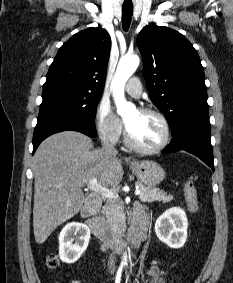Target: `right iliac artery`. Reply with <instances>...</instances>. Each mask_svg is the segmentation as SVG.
I'll return each instance as SVG.
<instances>
[{
    "label": "right iliac artery",
    "instance_id": "obj_1",
    "mask_svg": "<svg viewBox=\"0 0 233 283\" xmlns=\"http://www.w3.org/2000/svg\"><path fill=\"white\" fill-rule=\"evenodd\" d=\"M121 275H122V266L119 267V269H118V271H117L115 283H120V281H121Z\"/></svg>",
    "mask_w": 233,
    "mask_h": 283
}]
</instances>
